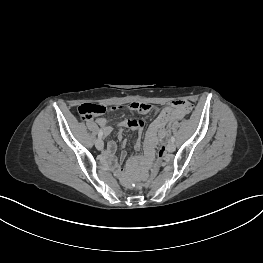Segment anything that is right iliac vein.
<instances>
[{
  "label": "right iliac vein",
  "instance_id": "right-iliac-vein-1",
  "mask_svg": "<svg viewBox=\"0 0 263 263\" xmlns=\"http://www.w3.org/2000/svg\"><path fill=\"white\" fill-rule=\"evenodd\" d=\"M95 146L98 150H102L104 147V143L101 138L96 139Z\"/></svg>",
  "mask_w": 263,
  "mask_h": 263
}]
</instances>
